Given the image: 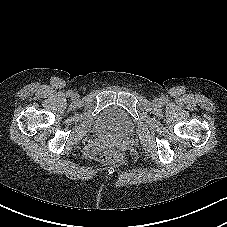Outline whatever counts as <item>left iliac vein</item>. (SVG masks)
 Listing matches in <instances>:
<instances>
[{"mask_svg": "<svg viewBox=\"0 0 227 227\" xmlns=\"http://www.w3.org/2000/svg\"><path fill=\"white\" fill-rule=\"evenodd\" d=\"M154 103H155L156 105H160V104H161V101H160V99H155V100H154Z\"/></svg>", "mask_w": 227, "mask_h": 227, "instance_id": "4c4485c4", "label": "left iliac vein"}]
</instances>
